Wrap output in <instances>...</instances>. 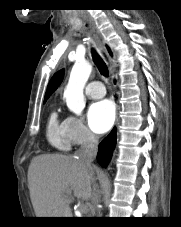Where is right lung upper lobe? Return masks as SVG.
Masks as SVG:
<instances>
[{"label":"right lung upper lobe","mask_w":181,"mask_h":227,"mask_svg":"<svg viewBox=\"0 0 181 227\" xmlns=\"http://www.w3.org/2000/svg\"><path fill=\"white\" fill-rule=\"evenodd\" d=\"M110 52V50H109ZM111 53V52H110ZM63 75H64V71H58L57 73H55L53 75V77L51 78V80L49 81V84L47 86V91L45 94V99L44 101H46L49 96L57 89V87L61 84L62 80H63Z\"/></svg>","instance_id":"1"}]
</instances>
